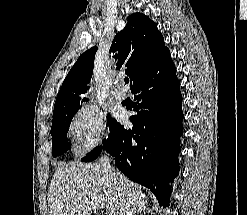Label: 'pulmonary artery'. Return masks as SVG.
Listing matches in <instances>:
<instances>
[{"mask_svg": "<svg viewBox=\"0 0 247 215\" xmlns=\"http://www.w3.org/2000/svg\"><path fill=\"white\" fill-rule=\"evenodd\" d=\"M113 96L115 99L122 101L126 98V92L125 89L123 87V83H119L118 85H116L115 90L113 91Z\"/></svg>", "mask_w": 247, "mask_h": 215, "instance_id": "1", "label": "pulmonary artery"}]
</instances>
